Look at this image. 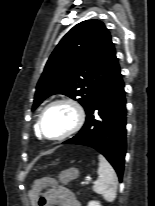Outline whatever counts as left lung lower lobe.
<instances>
[{"instance_id":"1","label":"left lung lower lobe","mask_w":155,"mask_h":206,"mask_svg":"<svg viewBox=\"0 0 155 206\" xmlns=\"http://www.w3.org/2000/svg\"><path fill=\"white\" fill-rule=\"evenodd\" d=\"M86 115L79 133L63 144L96 149L111 163L122 181L126 153V99L120 67L96 94Z\"/></svg>"}]
</instances>
